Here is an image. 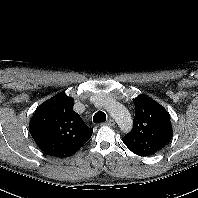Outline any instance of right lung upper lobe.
Segmentation results:
<instances>
[{
    "instance_id": "1",
    "label": "right lung upper lobe",
    "mask_w": 198,
    "mask_h": 198,
    "mask_svg": "<svg viewBox=\"0 0 198 198\" xmlns=\"http://www.w3.org/2000/svg\"><path fill=\"white\" fill-rule=\"evenodd\" d=\"M73 104V98L59 93L42 103L29 123L32 138L50 156H71L92 136L93 129L74 112Z\"/></svg>"
}]
</instances>
